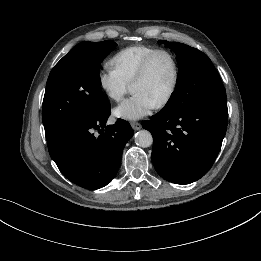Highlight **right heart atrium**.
<instances>
[{"label": "right heart atrium", "mask_w": 261, "mask_h": 261, "mask_svg": "<svg viewBox=\"0 0 261 261\" xmlns=\"http://www.w3.org/2000/svg\"><path fill=\"white\" fill-rule=\"evenodd\" d=\"M97 82L103 94L115 102L121 101L129 90V84L111 68L101 69L97 75Z\"/></svg>", "instance_id": "d8ad5b80"}]
</instances>
